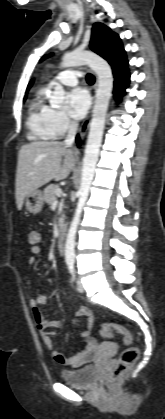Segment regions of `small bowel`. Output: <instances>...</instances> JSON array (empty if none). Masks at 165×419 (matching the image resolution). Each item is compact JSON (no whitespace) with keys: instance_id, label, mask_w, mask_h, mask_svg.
<instances>
[{"instance_id":"obj_1","label":"small bowel","mask_w":165,"mask_h":419,"mask_svg":"<svg viewBox=\"0 0 165 419\" xmlns=\"http://www.w3.org/2000/svg\"><path fill=\"white\" fill-rule=\"evenodd\" d=\"M36 233L38 236V242L32 243L30 252L32 256L28 259V265L32 266L37 261V256L42 252V249L39 245L40 237L36 231H30V233ZM29 233V240H30ZM47 302V297L44 295L37 296L30 299L29 304L33 310V317L37 328L41 333V337L44 345L51 351L54 360L63 366L66 367H79L88 363L94 356V352L97 348V343L92 336L94 318L93 314L87 307H80L77 310V316L86 319L85 329L82 331L81 336L84 340V346L82 349L74 356H68L63 354L61 351L55 348L54 342L52 339V334L48 331L49 328H59L61 323L57 320H47L43 313L40 310V306L44 305Z\"/></svg>"}]
</instances>
